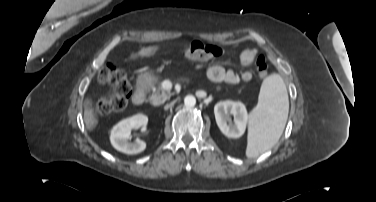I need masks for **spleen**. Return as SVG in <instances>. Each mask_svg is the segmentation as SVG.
<instances>
[{
  "mask_svg": "<svg viewBox=\"0 0 376 202\" xmlns=\"http://www.w3.org/2000/svg\"><path fill=\"white\" fill-rule=\"evenodd\" d=\"M288 110V94L282 77L279 74L268 76L261 85L258 104L250 113L247 157H257L279 140Z\"/></svg>",
  "mask_w": 376,
  "mask_h": 202,
  "instance_id": "spleen-1",
  "label": "spleen"
}]
</instances>
